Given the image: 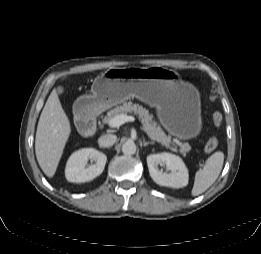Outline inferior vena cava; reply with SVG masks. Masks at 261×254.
<instances>
[{
  "mask_svg": "<svg viewBox=\"0 0 261 254\" xmlns=\"http://www.w3.org/2000/svg\"><path fill=\"white\" fill-rule=\"evenodd\" d=\"M116 140V135L105 134L98 139V144L100 147H110L116 142Z\"/></svg>",
  "mask_w": 261,
  "mask_h": 254,
  "instance_id": "602c4592",
  "label": "inferior vena cava"
}]
</instances>
